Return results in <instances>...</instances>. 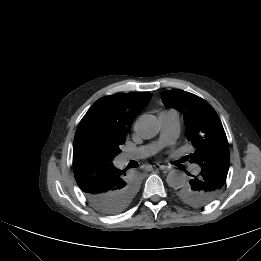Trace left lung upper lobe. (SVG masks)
Wrapping results in <instances>:
<instances>
[{
    "mask_svg": "<svg viewBox=\"0 0 261 261\" xmlns=\"http://www.w3.org/2000/svg\"><path fill=\"white\" fill-rule=\"evenodd\" d=\"M165 106L175 108L184 117L188 141L195 147L191 163L199 166L205 163L229 166V146L222 123L212 106L202 98L183 90L165 91L162 96ZM178 197L184 202L201 207L207 203L204 196L182 186Z\"/></svg>",
    "mask_w": 261,
    "mask_h": 261,
    "instance_id": "obj_1",
    "label": "left lung upper lobe"
}]
</instances>
